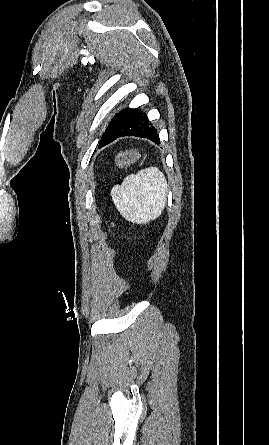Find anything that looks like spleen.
I'll return each mask as SVG.
<instances>
[{"instance_id": "spleen-1", "label": "spleen", "mask_w": 269, "mask_h": 445, "mask_svg": "<svg viewBox=\"0 0 269 445\" xmlns=\"http://www.w3.org/2000/svg\"><path fill=\"white\" fill-rule=\"evenodd\" d=\"M167 180L157 167L128 175L111 190L113 202L123 218L146 224L159 217L166 205Z\"/></svg>"}]
</instances>
